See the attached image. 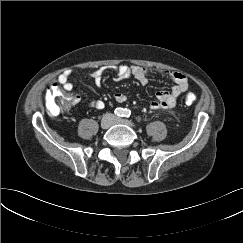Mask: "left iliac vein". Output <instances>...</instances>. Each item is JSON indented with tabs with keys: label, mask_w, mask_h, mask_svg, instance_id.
<instances>
[{
	"label": "left iliac vein",
	"mask_w": 243,
	"mask_h": 243,
	"mask_svg": "<svg viewBox=\"0 0 243 243\" xmlns=\"http://www.w3.org/2000/svg\"><path fill=\"white\" fill-rule=\"evenodd\" d=\"M113 124H125L128 126L134 127V124L131 121L126 120V119H121V118H114Z\"/></svg>",
	"instance_id": "left-iliac-vein-1"
}]
</instances>
